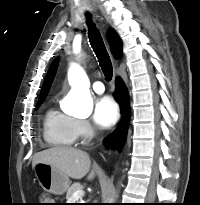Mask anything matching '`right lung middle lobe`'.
<instances>
[{
	"label": "right lung middle lobe",
	"mask_w": 200,
	"mask_h": 205,
	"mask_svg": "<svg viewBox=\"0 0 200 205\" xmlns=\"http://www.w3.org/2000/svg\"><path fill=\"white\" fill-rule=\"evenodd\" d=\"M45 98L39 99L38 100V104H37V108L39 107V105L44 101Z\"/></svg>",
	"instance_id": "1"
}]
</instances>
